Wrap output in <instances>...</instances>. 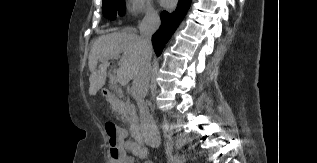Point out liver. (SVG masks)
Segmentation results:
<instances>
[{"label": "liver", "instance_id": "1", "mask_svg": "<svg viewBox=\"0 0 317 163\" xmlns=\"http://www.w3.org/2000/svg\"><path fill=\"white\" fill-rule=\"evenodd\" d=\"M120 54L122 56L120 57ZM119 58V83L127 85L134 79L143 59L141 37L134 29H126L122 32H112L99 36L91 48L89 54V94L95 95L105 84L107 76L108 60ZM98 62H101L97 69Z\"/></svg>", "mask_w": 317, "mask_h": 163}]
</instances>
